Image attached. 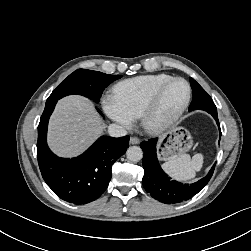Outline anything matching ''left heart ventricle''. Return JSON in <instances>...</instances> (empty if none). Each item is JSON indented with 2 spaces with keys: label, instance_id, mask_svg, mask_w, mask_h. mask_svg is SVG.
<instances>
[{
  "label": "left heart ventricle",
  "instance_id": "b2bd125f",
  "mask_svg": "<svg viewBox=\"0 0 251 251\" xmlns=\"http://www.w3.org/2000/svg\"><path fill=\"white\" fill-rule=\"evenodd\" d=\"M187 96V89L183 82H174L169 85L162 97L155 118L164 120L176 112L184 103Z\"/></svg>",
  "mask_w": 251,
  "mask_h": 251
}]
</instances>
